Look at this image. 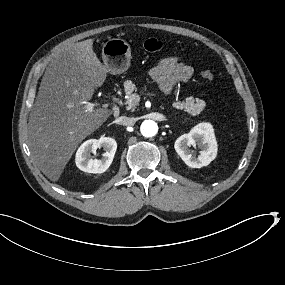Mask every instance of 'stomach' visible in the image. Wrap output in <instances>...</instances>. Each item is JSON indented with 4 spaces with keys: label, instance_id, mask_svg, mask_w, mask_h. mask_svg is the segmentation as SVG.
Masks as SVG:
<instances>
[{
    "label": "stomach",
    "instance_id": "obj_1",
    "mask_svg": "<svg viewBox=\"0 0 285 285\" xmlns=\"http://www.w3.org/2000/svg\"><path fill=\"white\" fill-rule=\"evenodd\" d=\"M102 59L111 74H120L130 66V45L123 39H110L103 45Z\"/></svg>",
    "mask_w": 285,
    "mask_h": 285
}]
</instances>
